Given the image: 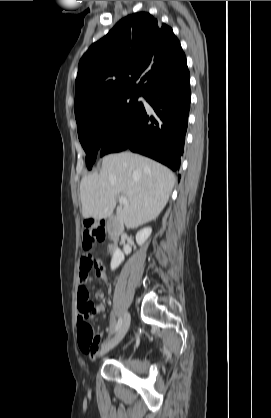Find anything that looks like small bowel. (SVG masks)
<instances>
[{
  "instance_id": "obj_1",
  "label": "small bowel",
  "mask_w": 271,
  "mask_h": 418,
  "mask_svg": "<svg viewBox=\"0 0 271 418\" xmlns=\"http://www.w3.org/2000/svg\"><path fill=\"white\" fill-rule=\"evenodd\" d=\"M89 260L87 257H83L80 261V271H79V288L77 291V303H78V323H94L95 322V315L98 314L99 311L103 309V305H95V301L90 299V291L86 288V284L89 280V272L92 268L88 266ZM97 269H100L99 265L95 264ZM96 299H102L103 293L96 292L95 293ZM98 343L92 349H83L81 348L82 352L90 357L95 358L97 351H98Z\"/></svg>"
}]
</instances>
